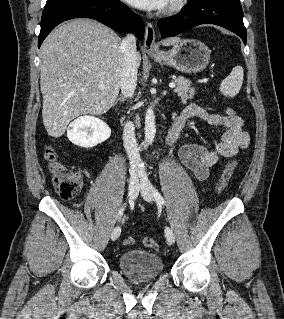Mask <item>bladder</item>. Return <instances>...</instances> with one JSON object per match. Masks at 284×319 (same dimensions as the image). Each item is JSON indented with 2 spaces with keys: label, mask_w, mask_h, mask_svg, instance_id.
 <instances>
[{
  "label": "bladder",
  "mask_w": 284,
  "mask_h": 319,
  "mask_svg": "<svg viewBox=\"0 0 284 319\" xmlns=\"http://www.w3.org/2000/svg\"><path fill=\"white\" fill-rule=\"evenodd\" d=\"M119 268L123 274L135 282H148L158 277L164 267L162 258L153 252L133 249L119 257Z\"/></svg>",
  "instance_id": "obj_1"
}]
</instances>
